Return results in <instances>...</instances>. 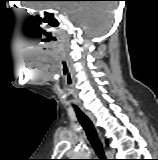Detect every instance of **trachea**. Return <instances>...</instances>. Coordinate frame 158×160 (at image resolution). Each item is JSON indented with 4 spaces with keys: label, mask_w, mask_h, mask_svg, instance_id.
I'll return each instance as SVG.
<instances>
[{
    "label": "trachea",
    "mask_w": 158,
    "mask_h": 160,
    "mask_svg": "<svg viewBox=\"0 0 158 160\" xmlns=\"http://www.w3.org/2000/svg\"><path fill=\"white\" fill-rule=\"evenodd\" d=\"M73 107L79 122L83 126L86 132V135L95 150L96 155L99 157V159L97 160H106V157L103 151V146L100 140L98 139L97 132L95 130V127L92 121L84 113H82L78 107L76 106H73Z\"/></svg>",
    "instance_id": "trachea-1"
}]
</instances>
